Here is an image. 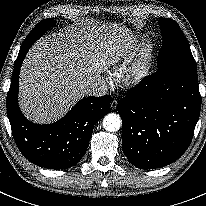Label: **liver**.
Here are the masks:
<instances>
[{"label":"liver","mask_w":206,"mask_h":206,"mask_svg":"<svg viewBox=\"0 0 206 206\" xmlns=\"http://www.w3.org/2000/svg\"><path fill=\"white\" fill-rule=\"evenodd\" d=\"M131 49L130 38L117 26L72 27L39 39L20 70L22 112L37 123L59 119Z\"/></svg>","instance_id":"liver-1"}]
</instances>
